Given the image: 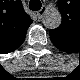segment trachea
I'll use <instances>...</instances> for the list:
<instances>
[{
  "mask_svg": "<svg viewBox=\"0 0 80 80\" xmlns=\"http://www.w3.org/2000/svg\"><path fill=\"white\" fill-rule=\"evenodd\" d=\"M41 2L39 0H30L29 9L32 11H38L41 9Z\"/></svg>",
  "mask_w": 80,
  "mask_h": 80,
  "instance_id": "obj_1",
  "label": "trachea"
}]
</instances>
